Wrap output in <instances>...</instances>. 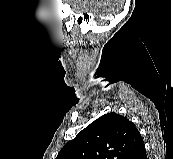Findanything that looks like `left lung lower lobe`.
Wrapping results in <instances>:
<instances>
[{
	"mask_svg": "<svg viewBox=\"0 0 173 159\" xmlns=\"http://www.w3.org/2000/svg\"><path fill=\"white\" fill-rule=\"evenodd\" d=\"M130 159H147L146 149H145L144 142L137 149V151L130 157Z\"/></svg>",
	"mask_w": 173,
	"mask_h": 159,
	"instance_id": "obj_1",
	"label": "left lung lower lobe"
}]
</instances>
